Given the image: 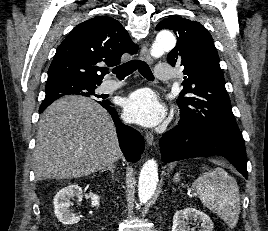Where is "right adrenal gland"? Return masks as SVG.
<instances>
[{"instance_id": "1", "label": "right adrenal gland", "mask_w": 268, "mask_h": 231, "mask_svg": "<svg viewBox=\"0 0 268 231\" xmlns=\"http://www.w3.org/2000/svg\"><path fill=\"white\" fill-rule=\"evenodd\" d=\"M114 166L113 164L108 165L106 168L102 169L101 172L109 170L112 174H114Z\"/></svg>"}]
</instances>
